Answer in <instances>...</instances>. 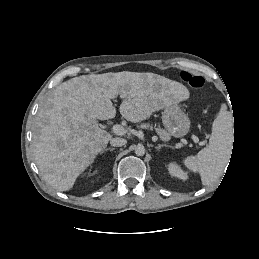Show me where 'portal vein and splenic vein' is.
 I'll return each mask as SVG.
<instances>
[{
	"label": "portal vein and splenic vein",
	"instance_id": "obj_1",
	"mask_svg": "<svg viewBox=\"0 0 259 259\" xmlns=\"http://www.w3.org/2000/svg\"><path fill=\"white\" fill-rule=\"evenodd\" d=\"M112 130L116 135H124L126 133L125 128L119 124L113 125ZM193 140L195 143L199 142V139L196 136L193 137ZM203 144H204V142H201V145H203Z\"/></svg>",
	"mask_w": 259,
	"mask_h": 259
}]
</instances>
